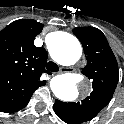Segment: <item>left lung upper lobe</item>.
<instances>
[{"instance_id":"obj_1","label":"left lung upper lobe","mask_w":124,"mask_h":124,"mask_svg":"<svg viewBox=\"0 0 124 124\" xmlns=\"http://www.w3.org/2000/svg\"><path fill=\"white\" fill-rule=\"evenodd\" d=\"M73 33L81 41L87 58L82 73L92 82V92L79 102L55 100L56 114L68 124L93 119L113 97L118 83L116 58L103 32L94 27H78Z\"/></svg>"}]
</instances>
